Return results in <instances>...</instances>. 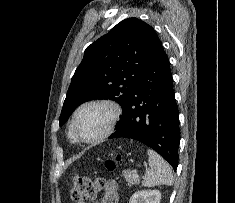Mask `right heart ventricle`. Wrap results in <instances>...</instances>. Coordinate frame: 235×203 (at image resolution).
I'll return each instance as SVG.
<instances>
[{
  "mask_svg": "<svg viewBox=\"0 0 235 203\" xmlns=\"http://www.w3.org/2000/svg\"><path fill=\"white\" fill-rule=\"evenodd\" d=\"M69 138L71 139L72 142H76V139L74 138L71 130H69Z\"/></svg>",
  "mask_w": 235,
  "mask_h": 203,
  "instance_id": "right-heart-ventricle-1",
  "label": "right heart ventricle"
}]
</instances>
